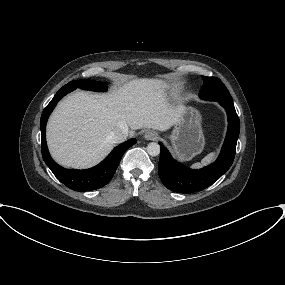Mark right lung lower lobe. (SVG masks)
Listing matches in <instances>:
<instances>
[{"label":"right lung lower lobe","instance_id":"98d812e1","mask_svg":"<svg viewBox=\"0 0 285 285\" xmlns=\"http://www.w3.org/2000/svg\"><path fill=\"white\" fill-rule=\"evenodd\" d=\"M70 88H61L51 102L44 109L41 120V149L42 156L46 165L53 174L68 188L74 191H90L106 185L114 175L122 155L125 151L136 143V139H130L123 144L115 147L113 151L97 166L86 170L65 169L59 166L50 156L45 137V129L48 117L58 101L67 93L71 92Z\"/></svg>","mask_w":285,"mask_h":285}]
</instances>
